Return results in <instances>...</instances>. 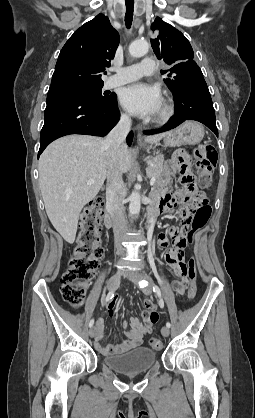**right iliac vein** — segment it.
<instances>
[{
  "mask_svg": "<svg viewBox=\"0 0 255 418\" xmlns=\"http://www.w3.org/2000/svg\"><path fill=\"white\" fill-rule=\"evenodd\" d=\"M121 275H122V273L121 272H117L116 274H114L110 279H109V281H108V283H107V288L110 290V291H112V290H114V289H116V287L118 286V284H119V282H120V279H121ZM95 331H96V328L93 326V327H91L90 329H89V336L91 337V338H93L94 337V335H95Z\"/></svg>",
  "mask_w": 255,
  "mask_h": 418,
  "instance_id": "right-iliac-vein-1",
  "label": "right iliac vein"
}]
</instances>
